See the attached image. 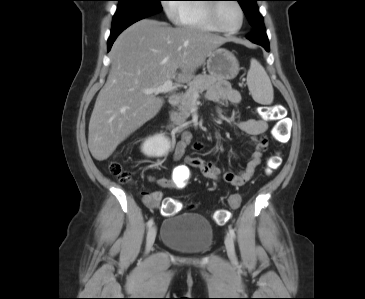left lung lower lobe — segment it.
I'll use <instances>...</instances> for the list:
<instances>
[{
  "label": "left lung lower lobe",
  "instance_id": "0a47b994",
  "mask_svg": "<svg viewBox=\"0 0 365 299\" xmlns=\"http://www.w3.org/2000/svg\"><path fill=\"white\" fill-rule=\"evenodd\" d=\"M247 38L251 42L264 47L266 51H269V41L266 35V30L264 25L254 27L253 31L249 35H247Z\"/></svg>",
  "mask_w": 365,
  "mask_h": 299
}]
</instances>
